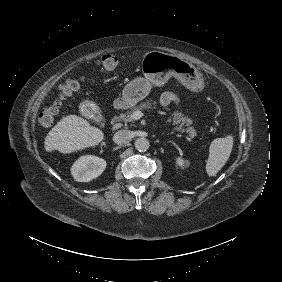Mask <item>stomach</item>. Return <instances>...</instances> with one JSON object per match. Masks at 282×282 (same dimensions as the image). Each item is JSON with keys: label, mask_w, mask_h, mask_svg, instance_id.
Returning <instances> with one entry per match:
<instances>
[{"label": "stomach", "mask_w": 282, "mask_h": 282, "mask_svg": "<svg viewBox=\"0 0 282 282\" xmlns=\"http://www.w3.org/2000/svg\"><path fill=\"white\" fill-rule=\"evenodd\" d=\"M141 69L144 75L128 83L122 91V99L127 106H135L147 97L152 86L161 87L170 77L176 78L182 85L192 91L204 88V79L200 71L180 57L160 51L144 54Z\"/></svg>", "instance_id": "0dacf381"}]
</instances>
